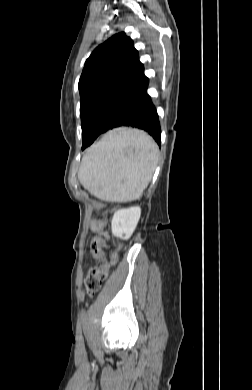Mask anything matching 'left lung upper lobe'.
I'll list each match as a JSON object with an SVG mask.
<instances>
[{
    "label": "left lung upper lobe",
    "instance_id": "1",
    "mask_svg": "<svg viewBox=\"0 0 252 390\" xmlns=\"http://www.w3.org/2000/svg\"><path fill=\"white\" fill-rule=\"evenodd\" d=\"M147 82L138 51L125 33L100 44L86 60L79 80L82 132L94 119L115 116Z\"/></svg>",
    "mask_w": 252,
    "mask_h": 390
}]
</instances>
